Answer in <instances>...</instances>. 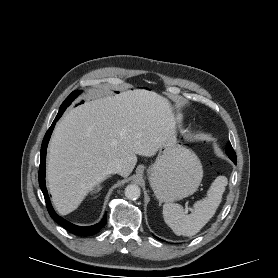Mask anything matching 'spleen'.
Listing matches in <instances>:
<instances>
[{
    "mask_svg": "<svg viewBox=\"0 0 278 278\" xmlns=\"http://www.w3.org/2000/svg\"><path fill=\"white\" fill-rule=\"evenodd\" d=\"M226 185L227 178L225 176H218L211 184L207 197L197 201L190 214H186L179 204H164V221L178 236L189 237L197 234L215 214L222 201Z\"/></svg>",
    "mask_w": 278,
    "mask_h": 278,
    "instance_id": "3e777b00",
    "label": "spleen"
}]
</instances>
